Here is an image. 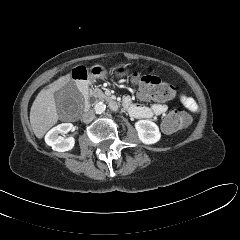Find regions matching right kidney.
<instances>
[{
	"instance_id": "1",
	"label": "right kidney",
	"mask_w": 240,
	"mask_h": 240,
	"mask_svg": "<svg viewBox=\"0 0 240 240\" xmlns=\"http://www.w3.org/2000/svg\"><path fill=\"white\" fill-rule=\"evenodd\" d=\"M73 129L71 123H62L52 128L45 135V142L51 146L53 150L58 152L69 151L74 147L75 140L73 137L63 138L59 134H66Z\"/></svg>"
}]
</instances>
